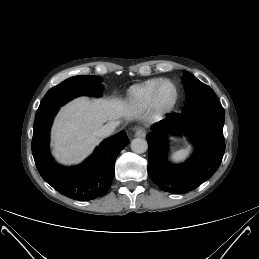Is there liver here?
Returning a JSON list of instances; mask_svg holds the SVG:
<instances>
[{
    "mask_svg": "<svg viewBox=\"0 0 259 259\" xmlns=\"http://www.w3.org/2000/svg\"><path fill=\"white\" fill-rule=\"evenodd\" d=\"M137 117L136 107L123 100L79 97L61 108L54 121L53 154L64 165L78 164L99 144L93 133L105 122Z\"/></svg>",
    "mask_w": 259,
    "mask_h": 259,
    "instance_id": "obj_1",
    "label": "liver"
}]
</instances>
